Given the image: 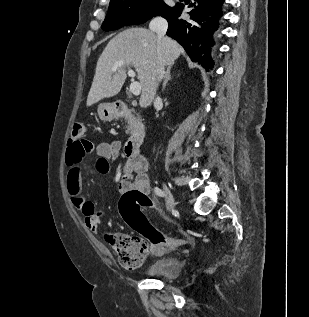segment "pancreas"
Returning a JSON list of instances; mask_svg holds the SVG:
<instances>
[{
	"mask_svg": "<svg viewBox=\"0 0 309 317\" xmlns=\"http://www.w3.org/2000/svg\"><path fill=\"white\" fill-rule=\"evenodd\" d=\"M130 132V128L129 126L127 127V130H126V133H129Z\"/></svg>",
	"mask_w": 309,
	"mask_h": 317,
	"instance_id": "cf45deb5",
	"label": "pancreas"
}]
</instances>
